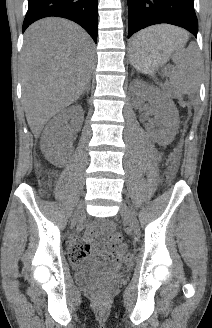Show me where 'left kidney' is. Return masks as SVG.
Here are the masks:
<instances>
[{"mask_svg": "<svg viewBox=\"0 0 212 328\" xmlns=\"http://www.w3.org/2000/svg\"><path fill=\"white\" fill-rule=\"evenodd\" d=\"M133 85L138 89L135 105L139 106L148 99L156 113L154 123L160 127L152 130L155 140L162 144L170 143L179 127V114L174 102L153 85L140 80H135Z\"/></svg>", "mask_w": 212, "mask_h": 328, "instance_id": "1", "label": "left kidney"}]
</instances>
